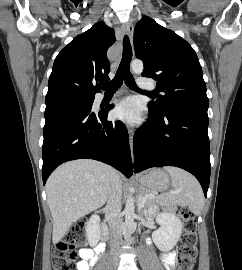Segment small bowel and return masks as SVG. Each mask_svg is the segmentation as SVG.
Returning <instances> with one entry per match:
<instances>
[{"label":"small bowel","mask_w":242,"mask_h":270,"mask_svg":"<svg viewBox=\"0 0 242 270\" xmlns=\"http://www.w3.org/2000/svg\"><path fill=\"white\" fill-rule=\"evenodd\" d=\"M103 250V245L99 244L94 249L82 248L79 251L81 260L77 262V270H92V266L96 263V254ZM176 255L173 252L165 253L162 261L166 270H174Z\"/></svg>","instance_id":"small-bowel-1"}]
</instances>
